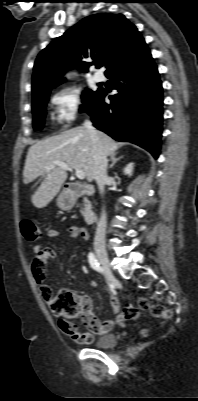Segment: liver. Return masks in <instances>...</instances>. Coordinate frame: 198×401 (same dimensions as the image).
<instances>
[{
  "label": "liver",
  "mask_w": 198,
  "mask_h": 401,
  "mask_svg": "<svg viewBox=\"0 0 198 401\" xmlns=\"http://www.w3.org/2000/svg\"><path fill=\"white\" fill-rule=\"evenodd\" d=\"M97 135L106 156L116 154L119 144L101 131ZM54 161H62L71 169L82 170L88 182L94 179L91 138L86 128L80 126L62 132L32 145L27 153L23 177L24 183L44 177L32 195V203L37 208L47 206L60 191L67 173ZM51 166L49 171L46 167Z\"/></svg>",
  "instance_id": "liver-1"
}]
</instances>
